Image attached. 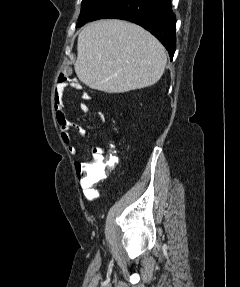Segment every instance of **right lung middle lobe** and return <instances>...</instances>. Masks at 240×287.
<instances>
[{
	"label": "right lung middle lobe",
	"mask_w": 240,
	"mask_h": 287,
	"mask_svg": "<svg viewBox=\"0 0 240 287\" xmlns=\"http://www.w3.org/2000/svg\"><path fill=\"white\" fill-rule=\"evenodd\" d=\"M108 1L109 0H83L80 17L76 27H80L88 21H91V19Z\"/></svg>",
	"instance_id": "obj_1"
}]
</instances>
